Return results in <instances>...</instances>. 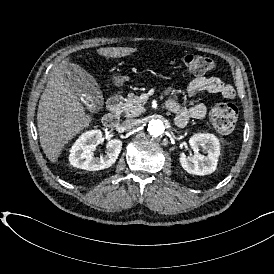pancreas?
<instances>
[{"mask_svg": "<svg viewBox=\"0 0 274 274\" xmlns=\"http://www.w3.org/2000/svg\"><path fill=\"white\" fill-rule=\"evenodd\" d=\"M122 113L126 117H137L145 112L143 105L138 96L134 93H129L126 102L122 105Z\"/></svg>", "mask_w": 274, "mask_h": 274, "instance_id": "obj_1", "label": "pancreas"}]
</instances>
